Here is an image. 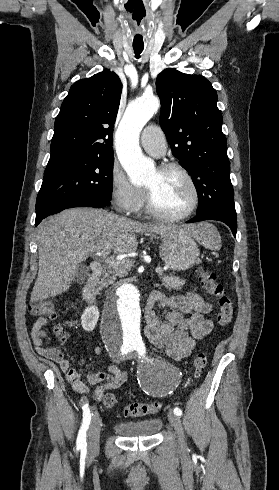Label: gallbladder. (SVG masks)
Wrapping results in <instances>:
<instances>
[{
	"instance_id": "obj_1",
	"label": "gallbladder",
	"mask_w": 279,
	"mask_h": 490,
	"mask_svg": "<svg viewBox=\"0 0 279 490\" xmlns=\"http://www.w3.org/2000/svg\"><path fill=\"white\" fill-rule=\"evenodd\" d=\"M88 276H89L88 268H86V266H81V268H78V272L74 278V282H76V284H84Z\"/></svg>"
}]
</instances>
